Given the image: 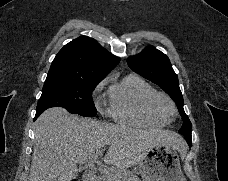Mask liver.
Returning a JSON list of instances; mask_svg holds the SVG:
<instances>
[{
	"label": "liver",
	"instance_id": "liver-1",
	"mask_svg": "<svg viewBox=\"0 0 228 181\" xmlns=\"http://www.w3.org/2000/svg\"><path fill=\"white\" fill-rule=\"evenodd\" d=\"M34 143L28 181H73L80 173L77 165H86L107 145L104 163L117 169L134 167L156 145H171L177 151L185 147L177 133L81 119L61 107L47 109L38 117Z\"/></svg>",
	"mask_w": 228,
	"mask_h": 181
}]
</instances>
